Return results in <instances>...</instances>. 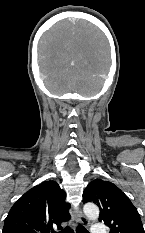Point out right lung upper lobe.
Returning <instances> with one entry per match:
<instances>
[{"label": "right lung upper lobe", "instance_id": "right-lung-upper-lobe-1", "mask_svg": "<svg viewBox=\"0 0 145 233\" xmlns=\"http://www.w3.org/2000/svg\"><path fill=\"white\" fill-rule=\"evenodd\" d=\"M55 181H45L27 191L10 209L2 233H56L70 219V204Z\"/></svg>", "mask_w": 145, "mask_h": 233}]
</instances>
